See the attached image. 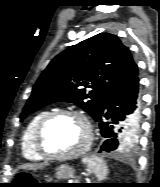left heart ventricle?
Returning <instances> with one entry per match:
<instances>
[{
    "mask_svg": "<svg viewBox=\"0 0 160 187\" xmlns=\"http://www.w3.org/2000/svg\"><path fill=\"white\" fill-rule=\"evenodd\" d=\"M86 137V128L79 118L61 117L50 126L46 146L55 152L69 153L82 147Z\"/></svg>",
    "mask_w": 160,
    "mask_h": 187,
    "instance_id": "obj_1",
    "label": "left heart ventricle"
}]
</instances>
